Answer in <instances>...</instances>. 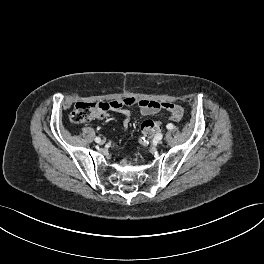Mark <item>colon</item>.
Wrapping results in <instances>:
<instances>
[{
	"label": "colon",
	"mask_w": 264,
	"mask_h": 264,
	"mask_svg": "<svg viewBox=\"0 0 264 264\" xmlns=\"http://www.w3.org/2000/svg\"><path fill=\"white\" fill-rule=\"evenodd\" d=\"M132 98L114 100L111 102H78L70 113V121L83 124L95 118L103 117L110 109H119L133 104ZM162 129V122L145 120L141 125L142 143L146 144Z\"/></svg>",
	"instance_id": "colon-1"
}]
</instances>
